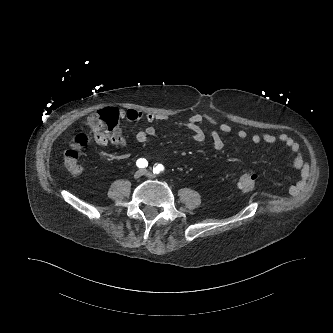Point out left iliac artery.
I'll use <instances>...</instances> for the list:
<instances>
[{
    "mask_svg": "<svg viewBox=\"0 0 333 333\" xmlns=\"http://www.w3.org/2000/svg\"><path fill=\"white\" fill-rule=\"evenodd\" d=\"M164 171V166L161 165V164H156L154 167H153V173L155 174H159L161 172Z\"/></svg>",
    "mask_w": 333,
    "mask_h": 333,
    "instance_id": "44dca946",
    "label": "left iliac artery"
}]
</instances>
